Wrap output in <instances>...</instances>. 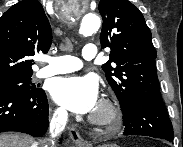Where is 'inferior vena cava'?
Segmentation results:
<instances>
[{
    "label": "inferior vena cava",
    "instance_id": "inferior-vena-cava-1",
    "mask_svg": "<svg viewBox=\"0 0 183 147\" xmlns=\"http://www.w3.org/2000/svg\"><path fill=\"white\" fill-rule=\"evenodd\" d=\"M67 111L59 109L54 114L50 122V134L51 137L41 140L39 143H35V147H53L55 138L58 137L65 129L67 122Z\"/></svg>",
    "mask_w": 183,
    "mask_h": 147
}]
</instances>
